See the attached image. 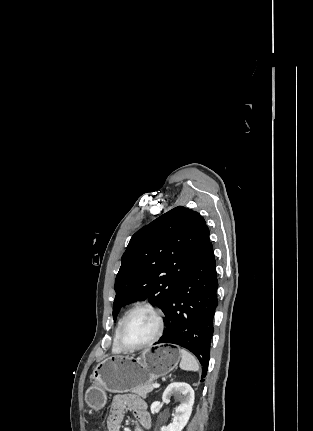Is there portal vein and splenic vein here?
<instances>
[{"instance_id":"18ae733b","label":"portal vein and splenic vein","mask_w":313,"mask_h":431,"mask_svg":"<svg viewBox=\"0 0 313 431\" xmlns=\"http://www.w3.org/2000/svg\"><path fill=\"white\" fill-rule=\"evenodd\" d=\"M153 388H159L160 387V385L159 384H157V383H154V384H152L151 385Z\"/></svg>"}]
</instances>
